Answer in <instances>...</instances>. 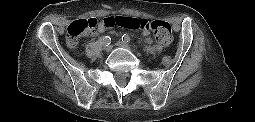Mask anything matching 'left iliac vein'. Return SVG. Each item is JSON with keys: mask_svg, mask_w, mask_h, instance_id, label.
<instances>
[{"mask_svg": "<svg viewBox=\"0 0 255 122\" xmlns=\"http://www.w3.org/2000/svg\"><path fill=\"white\" fill-rule=\"evenodd\" d=\"M116 45H117L118 47H120V48H125V49H128V50H130V51H133V50L131 49V47H130L128 44H126V43H124V42H122V41L116 42Z\"/></svg>", "mask_w": 255, "mask_h": 122, "instance_id": "left-iliac-vein-1", "label": "left iliac vein"}]
</instances>
